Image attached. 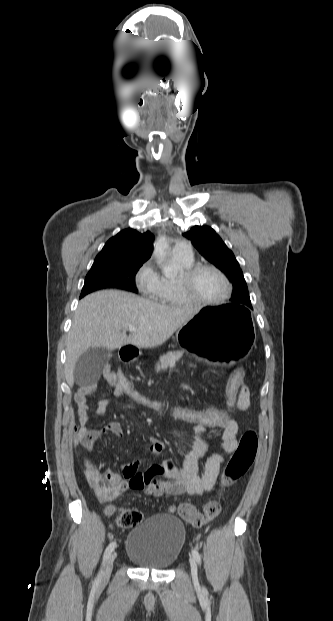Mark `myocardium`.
<instances>
[{
	"label": "myocardium",
	"mask_w": 333,
	"mask_h": 621,
	"mask_svg": "<svg viewBox=\"0 0 333 621\" xmlns=\"http://www.w3.org/2000/svg\"><path fill=\"white\" fill-rule=\"evenodd\" d=\"M205 270H210L219 275L226 285L225 294L217 300H203L198 298L193 292V283L196 276ZM178 285L183 297L190 304L200 306H216L225 303L233 292V285L227 275L218 267L211 264H197L181 272L178 277Z\"/></svg>",
	"instance_id": "obj_1"
}]
</instances>
